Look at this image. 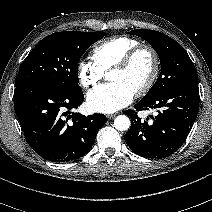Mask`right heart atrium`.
I'll list each match as a JSON object with an SVG mask.
<instances>
[{
    "mask_svg": "<svg viewBox=\"0 0 212 212\" xmlns=\"http://www.w3.org/2000/svg\"><path fill=\"white\" fill-rule=\"evenodd\" d=\"M104 76V72L89 58H82L77 64V77L80 85L88 89L96 85Z\"/></svg>",
    "mask_w": 212,
    "mask_h": 212,
    "instance_id": "right-heart-atrium-1",
    "label": "right heart atrium"
}]
</instances>
